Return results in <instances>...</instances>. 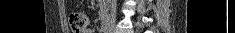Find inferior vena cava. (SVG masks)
<instances>
[{
	"label": "inferior vena cava",
	"mask_w": 235,
	"mask_h": 33,
	"mask_svg": "<svg viewBox=\"0 0 235 33\" xmlns=\"http://www.w3.org/2000/svg\"><path fill=\"white\" fill-rule=\"evenodd\" d=\"M114 19H115V7L112 6V8H111V21H114Z\"/></svg>",
	"instance_id": "inferior-vena-cava-1"
}]
</instances>
